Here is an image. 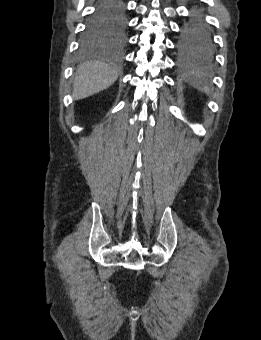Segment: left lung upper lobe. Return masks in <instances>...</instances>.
Segmentation results:
<instances>
[{"label": "left lung upper lobe", "instance_id": "5c2ea615", "mask_svg": "<svg viewBox=\"0 0 261 340\" xmlns=\"http://www.w3.org/2000/svg\"><path fill=\"white\" fill-rule=\"evenodd\" d=\"M181 47L185 51L210 56L214 51L213 39L207 23L197 14L183 28Z\"/></svg>", "mask_w": 261, "mask_h": 340}]
</instances>
